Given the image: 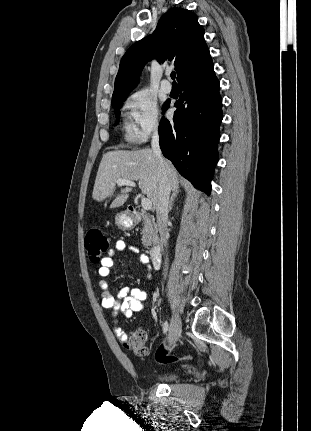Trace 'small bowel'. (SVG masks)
<instances>
[{"label":"small bowel","mask_w":311,"mask_h":431,"mask_svg":"<svg viewBox=\"0 0 311 431\" xmlns=\"http://www.w3.org/2000/svg\"><path fill=\"white\" fill-rule=\"evenodd\" d=\"M115 248L118 251H129L134 254L138 253V248L136 246L121 240L116 243ZM114 262L115 254L111 251L109 255L102 258L98 270L99 275L104 278L108 277L114 266ZM140 262L148 272L152 271V266L146 255H140ZM100 288L102 291V306L105 309L112 310L115 333L117 337L124 342L127 335L119 327V315L130 318L134 313L141 312L144 309V303L148 294L145 290L140 288L122 287L118 290L117 294L114 295L106 281L100 282Z\"/></svg>","instance_id":"c3829d8e"}]
</instances>
